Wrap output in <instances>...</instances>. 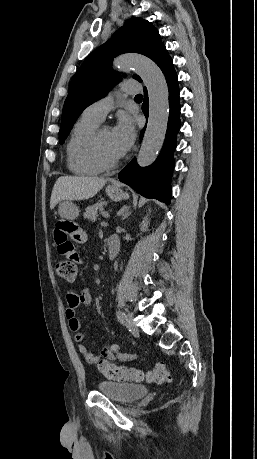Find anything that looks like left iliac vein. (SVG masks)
<instances>
[{
    "instance_id": "4c4485c4",
    "label": "left iliac vein",
    "mask_w": 257,
    "mask_h": 459,
    "mask_svg": "<svg viewBox=\"0 0 257 459\" xmlns=\"http://www.w3.org/2000/svg\"><path fill=\"white\" fill-rule=\"evenodd\" d=\"M126 317H127V320L129 321V325H128L129 331L133 335L138 334V328L136 327V325H135V323L133 321L134 315L132 313H128Z\"/></svg>"
}]
</instances>
